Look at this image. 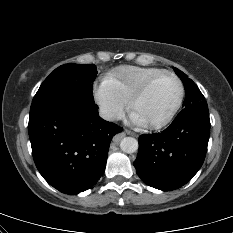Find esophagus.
<instances>
[{"label": "esophagus", "mask_w": 233, "mask_h": 233, "mask_svg": "<svg viewBox=\"0 0 233 233\" xmlns=\"http://www.w3.org/2000/svg\"><path fill=\"white\" fill-rule=\"evenodd\" d=\"M126 133H127L128 135H135L133 132H131V131H129V130H126Z\"/></svg>", "instance_id": "1"}]
</instances>
